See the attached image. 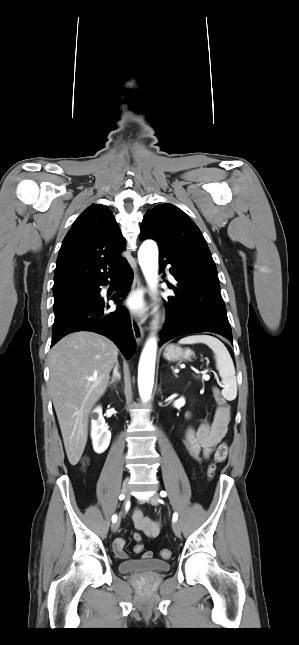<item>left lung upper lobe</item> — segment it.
Masks as SVG:
<instances>
[{
	"instance_id": "5c2ea615",
	"label": "left lung upper lobe",
	"mask_w": 299,
	"mask_h": 645,
	"mask_svg": "<svg viewBox=\"0 0 299 645\" xmlns=\"http://www.w3.org/2000/svg\"><path fill=\"white\" fill-rule=\"evenodd\" d=\"M145 239L155 240L160 254L175 251L215 265L199 228L172 204H159L146 212L140 233V240Z\"/></svg>"
}]
</instances>
